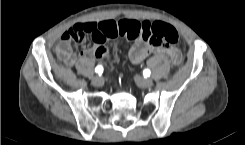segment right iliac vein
I'll list each match as a JSON object with an SVG mask.
<instances>
[{
    "label": "right iliac vein",
    "mask_w": 245,
    "mask_h": 145,
    "mask_svg": "<svg viewBox=\"0 0 245 145\" xmlns=\"http://www.w3.org/2000/svg\"><path fill=\"white\" fill-rule=\"evenodd\" d=\"M103 83V80L100 76H95L92 78V84L96 87H100Z\"/></svg>",
    "instance_id": "right-iliac-vein-1"
}]
</instances>
